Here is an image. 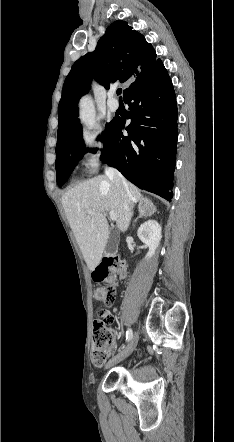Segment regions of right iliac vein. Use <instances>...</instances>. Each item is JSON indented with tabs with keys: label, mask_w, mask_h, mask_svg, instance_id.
Returning <instances> with one entry per match:
<instances>
[{
	"label": "right iliac vein",
	"mask_w": 234,
	"mask_h": 442,
	"mask_svg": "<svg viewBox=\"0 0 234 442\" xmlns=\"http://www.w3.org/2000/svg\"><path fill=\"white\" fill-rule=\"evenodd\" d=\"M137 345V334L135 333L130 342L125 346V348L120 351L106 366V368L112 366L115 363L122 361L127 358L135 349Z\"/></svg>",
	"instance_id": "1"
}]
</instances>
